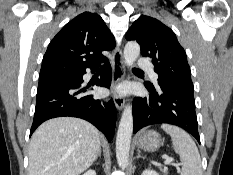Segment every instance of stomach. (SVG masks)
I'll return each mask as SVG.
<instances>
[{"label": "stomach", "mask_w": 233, "mask_h": 175, "mask_svg": "<svg viewBox=\"0 0 233 175\" xmlns=\"http://www.w3.org/2000/svg\"><path fill=\"white\" fill-rule=\"evenodd\" d=\"M136 144L145 151L154 152L161 145V137L154 130H144L137 135Z\"/></svg>", "instance_id": "obj_1"}]
</instances>
